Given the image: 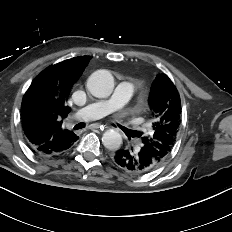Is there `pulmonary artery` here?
Wrapping results in <instances>:
<instances>
[{"label":"pulmonary artery","mask_w":232,"mask_h":232,"mask_svg":"<svg viewBox=\"0 0 232 232\" xmlns=\"http://www.w3.org/2000/svg\"><path fill=\"white\" fill-rule=\"evenodd\" d=\"M134 94V86L128 81L120 82L113 95L104 100L89 103L74 114V118L90 120L105 116L126 104Z\"/></svg>","instance_id":"e3ab8cb5"}]
</instances>
